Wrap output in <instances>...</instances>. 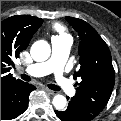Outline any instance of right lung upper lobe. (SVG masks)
<instances>
[{
    "instance_id": "right-lung-upper-lobe-1",
    "label": "right lung upper lobe",
    "mask_w": 121,
    "mask_h": 121,
    "mask_svg": "<svg viewBox=\"0 0 121 121\" xmlns=\"http://www.w3.org/2000/svg\"><path fill=\"white\" fill-rule=\"evenodd\" d=\"M41 18L16 15L1 22V91L6 87L21 83L9 73L13 60L26 49L34 33L42 25Z\"/></svg>"
}]
</instances>
